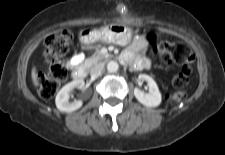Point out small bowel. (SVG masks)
I'll use <instances>...</instances> for the list:
<instances>
[{
	"label": "small bowel",
	"mask_w": 225,
	"mask_h": 155,
	"mask_svg": "<svg viewBox=\"0 0 225 155\" xmlns=\"http://www.w3.org/2000/svg\"><path fill=\"white\" fill-rule=\"evenodd\" d=\"M147 47V40L136 38L123 52L121 59L124 62L130 63L136 69H144L150 66L149 60L144 56ZM83 60L82 54L74 55L69 63L73 66L80 64Z\"/></svg>",
	"instance_id": "small-bowel-1"
}]
</instances>
